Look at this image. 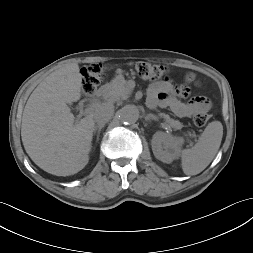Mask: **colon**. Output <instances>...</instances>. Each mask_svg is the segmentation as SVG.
Segmentation results:
<instances>
[{
    "instance_id": "colon-1",
    "label": "colon",
    "mask_w": 253,
    "mask_h": 253,
    "mask_svg": "<svg viewBox=\"0 0 253 253\" xmlns=\"http://www.w3.org/2000/svg\"><path fill=\"white\" fill-rule=\"evenodd\" d=\"M134 69L136 73L146 79L151 80H159L166 77L168 74V68L162 65L150 64L148 62L140 61L134 64ZM106 67L101 64H94L82 68L81 76H82V91L86 96H92L95 94L97 87L101 83ZM186 82L193 85H198V81L196 77L192 73H188L185 76ZM188 89L187 86H185ZM210 116L207 111L198 112L193 117V123L198 126H204Z\"/></svg>"
}]
</instances>
